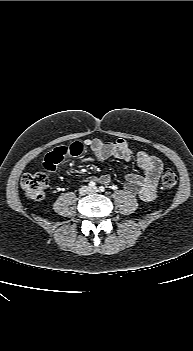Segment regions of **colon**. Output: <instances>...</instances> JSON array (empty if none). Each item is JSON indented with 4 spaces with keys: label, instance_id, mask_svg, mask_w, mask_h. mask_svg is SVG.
<instances>
[{
    "label": "colon",
    "instance_id": "5ec220e1",
    "mask_svg": "<svg viewBox=\"0 0 193 351\" xmlns=\"http://www.w3.org/2000/svg\"><path fill=\"white\" fill-rule=\"evenodd\" d=\"M161 184L165 188H173L177 184V175L171 169H165L161 176ZM48 178L44 173L25 174L21 178V187L25 195L33 200L44 197Z\"/></svg>",
    "mask_w": 193,
    "mask_h": 351
}]
</instances>
